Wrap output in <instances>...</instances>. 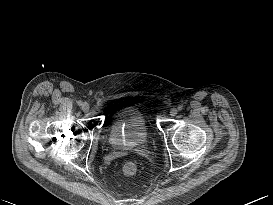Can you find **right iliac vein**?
<instances>
[{
  "label": "right iliac vein",
  "mask_w": 273,
  "mask_h": 205,
  "mask_svg": "<svg viewBox=\"0 0 273 205\" xmlns=\"http://www.w3.org/2000/svg\"><path fill=\"white\" fill-rule=\"evenodd\" d=\"M89 104L88 103H84V104H82V110L84 111V112H88L89 111Z\"/></svg>",
  "instance_id": "63e3f726"
}]
</instances>
